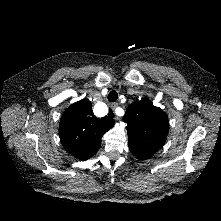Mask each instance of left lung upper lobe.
<instances>
[{"instance_id":"obj_1","label":"left lung upper lobe","mask_w":221,"mask_h":221,"mask_svg":"<svg viewBox=\"0 0 221 221\" xmlns=\"http://www.w3.org/2000/svg\"><path fill=\"white\" fill-rule=\"evenodd\" d=\"M123 121L127 123L129 149L140 159L154 155L166 141L168 117L148 99L131 103Z\"/></svg>"}]
</instances>
